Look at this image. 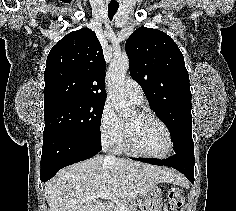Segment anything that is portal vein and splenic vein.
<instances>
[{"instance_id":"1","label":"portal vein and splenic vein","mask_w":236,"mask_h":211,"mask_svg":"<svg viewBox=\"0 0 236 211\" xmlns=\"http://www.w3.org/2000/svg\"><path fill=\"white\" fill-rule=\"evenodd\" d=\"M95 198H103V199H107V200H112V201H114L115 203L118 204V197L113 195V194H110L108 192H101L99 195L91 197L90 199L94 200ZM124 209H125V207L122 205L121 206V211H124Z\"/></svg>"}]
</instances>
